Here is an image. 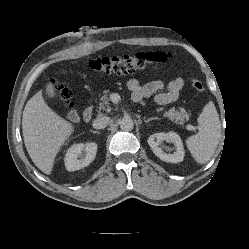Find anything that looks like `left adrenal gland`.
I'll list each match as a JSON object with an SVG mask.
<instances>
[{
  "label": "left adrenal gland",
  "mask_w": 249,
  "mask_h": 249,
  "mask_svg": "<svg viewBox=\"0 0 249 249\" xmlns=\"http://www.w3.org/2000/svg\"><path fill=\"white\" fill-rule=\"evenodd\" d=\"M156 119H159V118H157V117H151V118L145 119L144 122L145 123H149L150 121L156 120Z\"/></svg>",
  "instance_id": "obj_1"
}]
</instances>
